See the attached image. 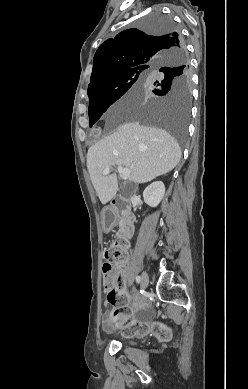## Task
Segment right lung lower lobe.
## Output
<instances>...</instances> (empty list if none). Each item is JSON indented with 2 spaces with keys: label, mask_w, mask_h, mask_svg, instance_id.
<instances>
[{
  "label": "right lung lower lobe",
  "mask_w": 248,
  "mask_h": 389,
  "mask_svg": "<svg viewBox=\"0 0 248 389\" xmlns=\"http://www.w3.org/2000/svg\"><path fill=\"white\" fill-rule=\"evenodd\" d=\"M179 45H180L181 47L183 46L182 41L179 42ZM176 54H177L178 56H183V55L185 54V48L182 47V48H181V51L177 52Z\"/></svg>",
  "instance_id": "right-lung-lower-lobe-1"
}]
</instances>
